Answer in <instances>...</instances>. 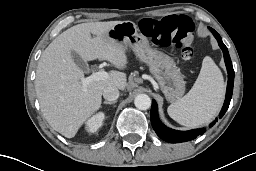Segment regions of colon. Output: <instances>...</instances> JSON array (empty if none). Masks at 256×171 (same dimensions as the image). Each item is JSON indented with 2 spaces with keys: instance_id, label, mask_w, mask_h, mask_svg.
I'll use <instances>...</instances> for the list:
<instances>
[{
  "instance_id": "5ec220e1",
  "label": "colon",
  "mask_w": 256,
  "mask_h": 171,
  "mask_svg": "<svg viewBox=\"0 0 256 171\" xmlns=\"http://www.w3.org/2000/svg\"><path fill=\"white\" fill-rule=\"evenodd\" d=\"M139 29L151 42L160 47H175L185 60L195 57L194 22L186 16H167L162 19L144 18Z\"/></svg>"
}]
</instances>
